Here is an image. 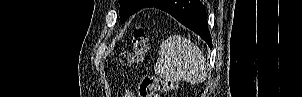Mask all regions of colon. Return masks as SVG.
Returning a JSON list of instances; mask_svg holds the SVG:
<instances>
[{
	"instance_id": "obj_1",
	"label": "colon",
	"mask_w": 302,
	"mask_h": 97,
	"mask_svg": "<svg viewBox=\"0 0 302 97\" xmlns=\"http://www.w3.org/2000/svg\"><path fill=\"white\" fill-rule=\"evenodd\" d=\"M148 49V40L145 30L142 27H135L133 30L132 48L122 51L118 56V62L125 66L140 63ZM172 80H162L155 76L144 77L139 86L140 97H158V92H165L176 87Z\"/></svg>"
}]
</instances>
